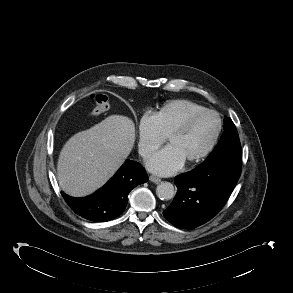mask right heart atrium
Masks as SVG:
<instances>
[{"mask_svg":"<svg viewBox=\"0 0 293 293\" xmlns=\"http://www.w3.org/2000/svg\"><path fill=\"white\" fill-rule=\"evenodd\" d=\"M153 114L144 113L138 121V149L143 158H148L164 142Z\"/></svg>","mask_w":293,"mask_h":293,"instance_id":"obj_1","label":"right heart atrium"}]
</instances>
